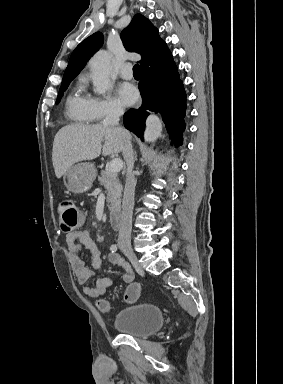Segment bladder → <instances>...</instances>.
<instances>
[{
    "label": "bladder",
    "instance_id": "obj_1",
    "mask_svg": "<svg viewBox=\"0 0 283 384\" xmlns=\"http://www.w3.org/2000/svg\"><path fill=\"white\" fill-rule=\"evenodd\" d=\"M165 323V315L159 304L135 303L117 310L112 322L120 334L143 338L154 334Z\"/></svg>",
    "mask_w": 283,
    "mask_h": 384
}]
</instances>
